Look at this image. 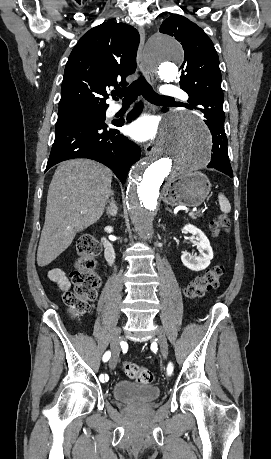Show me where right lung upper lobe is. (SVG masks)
<instances>
[{
  "instance_id": "cb5924a9",
  "label": "right lung upper lobe",
  "mask_w": 271,
  "mask_h": 459,
  "mask_svg": "<svg viewBox=\"0 0 271 459\" xmlns=\"http://www.w3.org/2000/svg\"><path fill=\"white\" fill-rule=\"evenodd\" d=\"M138 31L109 20L89 30L73 48L65 67L59 111L105 105L110 88L126 86L136 69ZM113 92V91H112Z\"/></svg>"
}]
</instances>
